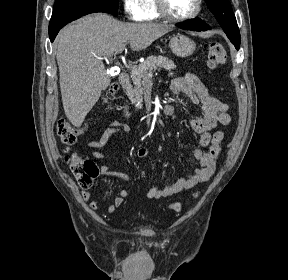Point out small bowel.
Listing matches in <instances>:
<instances>
[{"label": "small bowel", "mask_w": 288, "mask_h": 280, "mask_svg": "<svg viewBox=\"0 0 288 280\" xmlns=\"http://www.w3.org/2000/svg\"><path fill=\"white\" fill-rule=\"evenodd\" d=\"M171 90L176 95H187L193 103L201 107L202 117L189 118V126L199 134V147L194 151V157L200 167L192 174L180 178L174 184L169 186L154 185L145 193L148 199H160L170 197L172 195L184 192L194 187L195 185L208 181L214 174L216 162L221 152V145L224 138V133L220 130H214L217 125H228L231 122L228 104L210 94L202 81L192 73H184L182 76L175 78L171 82ZM130 125L113 121L111 122L102 136L97 140H91L88 147L93 149L92 156L98 160H105L106 156L99 150L103 148L110 136L116 132L129 131ZM207 148V150H204ZM148 150L141 147L137 150V156L140 159L146 158ZM100 174L104 177L128 181L129 177L125 173L111 171L107 165L100 167ZM129 196V190H120L111 204L105 207L106 213H113L120 207L125 199ZM82 197L85 201L90 200V193L86 190L82 192ZM89 206L93 210L99 209L100 205L97 201H90Z\"/></svg>", "instance_id": "c3829d8e"}]
</instances>
